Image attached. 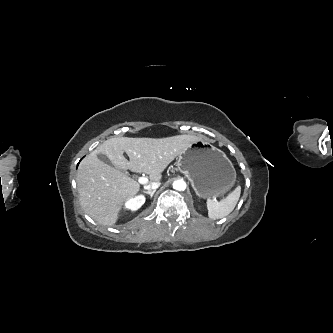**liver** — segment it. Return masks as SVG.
I'll use <instances>...</instances> for the list:
<instances>
[{
	"mask_svg": "<svg viewBox=\"0 0 333 333\" xmlns=\"http://www.w3.org/2000/svg\"><path fill=\"white\" fill-rule=\"evenodd\" d=\"M197 139L194 135H177L106 140L78 167L76 181L84 211L98 224H116L125 201L140 191V184L122 170L148 174L149 184L160 182L164 169ZM124 152L130 161L124 157ZM98 154L107 156L112 165L102 162Z\"/></svg>",
	"mask_w": 333,
	"mask_h": 333,
	"instance_id": "obj_1",
	"label": "liver"
}]
</instances>
